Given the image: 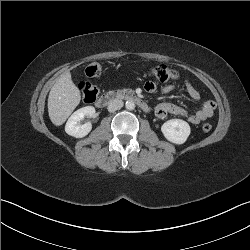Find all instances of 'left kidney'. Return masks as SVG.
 Listing matches in <instances>:
<instances>
[{
    "instance_id": "5707ae66",
    "label": "left kidney",
    "mask_w": 250,
    "mask_h": 250,
    "mask_svg": "<svg viewBox=\"0 0 250 250\" xmlns=\"http://www.w3.org/2000/svg\"><path fill=\"white\" fill-rule=\"evenodd\" d=\"M161 131L168 141L179 145L186 142L191 132L189 124L181 119L166 121L162 125Z\"/></svg>"
}]
</instances>
